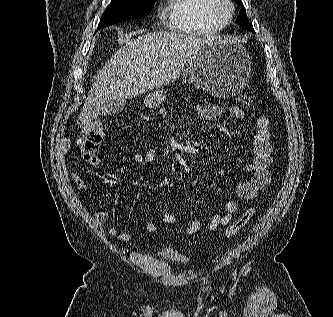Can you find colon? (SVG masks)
Masks as SVG:
<instances>
[{"label": "colon", "mask_w": 333, "mask_h": 317, "mask_svg": "<svg viewBox=\"0 0 333 317\" xmlns=\"http://www.w3.org/2000/svg\"><path fill=\"white\" fill-rule=\"evenodd\" d=\"M239 101L246 107H251L253 105L251 96L247 94L240 95ZM102 139V130L98 125H92L83 131L82 136L78 140V144L85 159H91L93 157L94 153L100 148ZM254 214V207L246 209L234 223L225 229L223 237L230 238L236 235L250 222Z\"/></svg>", "instance_id": "5ec220e1"}]
</instances>
